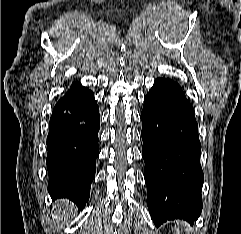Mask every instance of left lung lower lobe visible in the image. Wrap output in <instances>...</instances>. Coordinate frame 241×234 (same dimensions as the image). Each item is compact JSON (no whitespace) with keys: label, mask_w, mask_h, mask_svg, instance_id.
<instances>
[{"label":"left lung lower lobe","mask_w":241,"mask_h":234,"mask_svg":"<svg viewBox=\"0 0 241 234\" xmlns=\"http://www.w3.org/2000/svg\"><path fill=\"white\" fill-rule=\"evenodd\" d=\"M147 205L156 226L176 218L190 224L202 211L203 171L198 125L176 82L158 78L141 113Z\"/></svg>","instance_id":"0a47b994"}]
</instances>
